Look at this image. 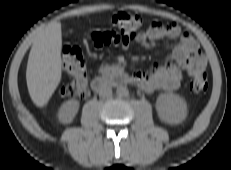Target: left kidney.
Returning <instances> with one entry per match:
<instances>
[{"label": "left kidney", "mask_w": 231, "mask_h": 170, "mask_svg": "<svg viewBox=\"0 0 231 170\" xmlns=\"http://www.w3.org/2000/svg\"><path fill=\"white\" fill-rule=\"evenodd\" d=\"M156 110L159 118L168 124H179L186 118V102L176 94H161L157 98Z\"/></svg>", "instance_id": "obj_1"}]
</instances>
